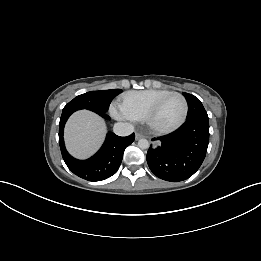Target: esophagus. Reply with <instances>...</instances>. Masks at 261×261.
Instances as JSON below:
<instances>
[{
    "instance_id": "obj_1",
    "label": "esophagus",
    "mask_w": 261,
    "mask_h": 261,
    "mask_svg": "<svg viewBox=\"0 0 261 261\" xmlns=\"http://www.w3.org/2000/svg\"><path fill=\"white\" fill-rule=\"evenodd\" d=\"M144 136L142 135V134H140V133H136L135 134V139L136 140H139V139H141V138H143Z\"/></svg>"
}]
</instances>
